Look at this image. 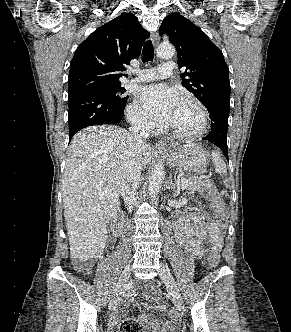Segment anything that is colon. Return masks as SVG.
Here are the masks:
<instances>
[{"mask_svg": "<svg viewBox=\"0 0 291 332\" xmlns=\"http://www.w3.org/2000/svg\"><path fill=\"white\" fill-rule=\"evenodd\" d=\"M203 193L210 199L213 209L216 212L218 223L224 227L227 224V209L225 203L217 197V190L213 183H207L203 188ZM208 264L214 268L219 263V255L215 250H212L209 255ZM86 272H90L89 267H85ZM120 332H143L142 324L135 319H127L120 326Z\"/></svg>", "mask_w": 291, "mask_h": 332, "instance_id": "5ec220e1", "label": "colon"}]
</instances>
